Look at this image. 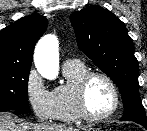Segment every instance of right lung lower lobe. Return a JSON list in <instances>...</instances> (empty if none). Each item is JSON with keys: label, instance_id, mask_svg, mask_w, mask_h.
<instances>
[{"label": "right lung lower lobe", "instance_id": "1", "mask_svg": "<svg viewBox=\"0 0 147 131\" xmlns=\"http://www.w3.org/2000/svg\"><path fill=\"white\" fill-rule=\"evenodd\" d=\"M5 111H8V110H0V112H5Z\"/></svg>", "mask_w": 147, "mask_h": 131}]
</instances>
